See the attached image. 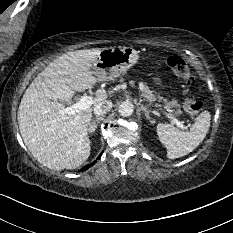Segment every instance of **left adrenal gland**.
<instances>
[{
    "mask_svg": "<svg viewBox=\"0 0 233 233\" xmlns=\"http://www.w3.org/2000/svg\"><path fill=\"white\" fill-rule=\"evenodd\" d=\"M140 109L144 112L146 119L149 120L150 123H154V121L151 119L149 115V110L143 105H140Z\"/></svg>",
    "mask_w": 233,
    "mask_h": 233,
    "instance_id": "left-adrenal-gland-1",
    "label": "left adrenal gland"
}]
</instances>
